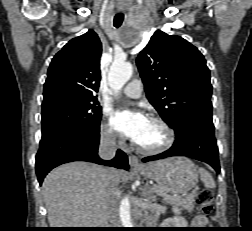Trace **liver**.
Listing matches in <instances>:
<instances>
[{
    "label": "liver",
    "instance_id": "liver-1",
    "mask_svg": "<svg viewBox=\"0 0 252 231\" xmlns=\"http://www.w3.org/2000/svg\"><path fill=\"white\" fill-rule=\"evenodd\" d=\"M109 175L117 185L124 172L86 162H71L52 170L42 185L51 228H103L108 223Z\"/></svg>",
    "mask_w": 252,
    "mask_h": 231
}]
</instances>
